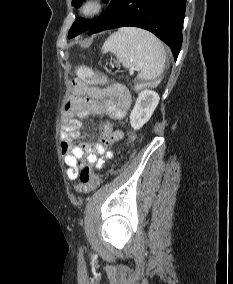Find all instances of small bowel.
<instances>
[{
  "label": "small bowel",
  "instance_id": "c3829d8e",
  "mask_svg": "<svg viewBox=\"0 0 233 284\" xmlns=\"http://www.w3.org/2000/svg\"><path fill=\"white\" fill-rule=\"evenodd\" d=\"M130 103V92L123 85L99 88L83 80L71 81L70 94L64 106L67 122L61 144L69 179H76L86 165L104 167L106 160L112 157L113 144L122 137L121 131L115 130L109 122H103L99 142L74 144L73 140L81 137V119L90 114H106L111 120L118 121L125 116Z\"/></svg>",
  "mask_w": 233,
  "mask_h": 284
}]
</instances>
